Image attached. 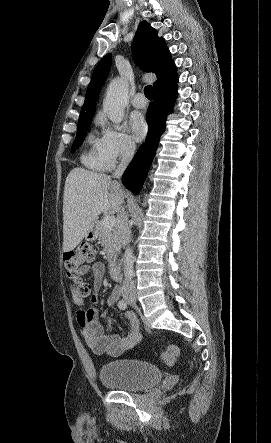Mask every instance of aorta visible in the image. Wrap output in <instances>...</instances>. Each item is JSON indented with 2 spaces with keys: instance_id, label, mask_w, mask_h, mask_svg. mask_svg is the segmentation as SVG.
Segmentation results:
<instances>
[{
  "instance_id": "762f6f07",
  "label": "aorta",
  "mask_w": 271,
  "mask_h": 443,
  "mask_svg": "<svg viewBox=\"0 0 271 443\" xmlns=\"http://www.w3.org/2000/svg\"><path fill=\"white\" fill-rule=\"evenodd\" d=\"M128 102V84L121 78L111 80L106 96L103 100L104 112L113 124H120L123 120L125 106ZM134 253L132 247H128L124 253V273L127 279L134 275Z\"/></svg>"
}]
</instances>
